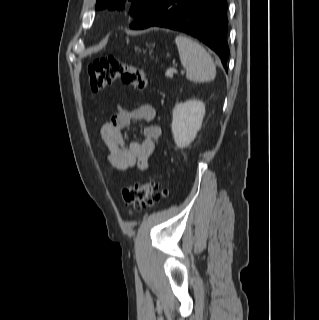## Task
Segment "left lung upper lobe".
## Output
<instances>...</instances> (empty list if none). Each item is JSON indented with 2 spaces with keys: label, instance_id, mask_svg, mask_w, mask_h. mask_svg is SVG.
<instances>
[{
  "label": "left lung upper lobe",
  "instance_id": "obj_1",
  "mask_svg": "<svg viewBox=\"0 0 319 320\" xmlns=\"http://www.w3.org/2000/svg\"><path fill=\"white\" fill-rule=\"evenodd\" d=\"M126 0H97L96 9L113 8L115 5L123 8ZM135 3L130 8V14L136 19L151 10L158 0H130Z\"/></svg>",
  "mask_w": 319,
  "mask_h": 320
}]
</instances>
